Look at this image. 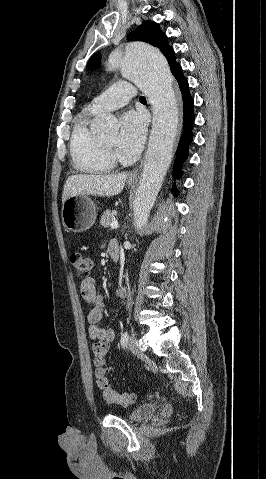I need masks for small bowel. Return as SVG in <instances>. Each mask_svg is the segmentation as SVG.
I'll return each mask as SVG.
<instances>
[{
	"instance_id": "obj_1",
	"label": "small bowel",
	"mask_w": 266,
	"mask_h": 479,
	"mask_svg": "<svg viewBox=\"0 0 266 479\" xmlns=\"http://www.w3.org/2000/svg\"><path fill=\"white\" fill-rule=\"evenodd\" d=\"M80 290L83 299L90 306L88 313L89 336L96 340L113 341L117 334L116 330L113 328L105 329L99 325L103 318L104 303L95 280L91 277L83 279ZM117 293L122 299H125L126 289L124 287L120 288Z\"/></svg>"
}]
</instances>
